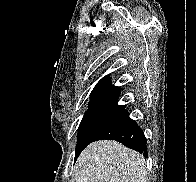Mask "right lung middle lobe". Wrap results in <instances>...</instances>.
I'll use <instances>...</instances> for the list:
<instances>
[{
  "mask_svg": "<svg viewBox=\"0 0 196 182\" xmlns=\"http://www.w3.org/2000/svg\"><path fill=\"white\" fill-rule=\"evenodd\" d=\"M128 115L124 106L98 104L89 106L79 125L75 156L104 129Z\"/></svg>",
  "mask_w": 196,
  "mask_h": 182,
  "instance_id": "1",
  "label": "right lung middle lobe"
}]
</instances>
